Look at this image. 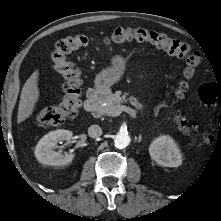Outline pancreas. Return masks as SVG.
Wrapping results in <instances>:
<instances>
[{"label": "pancreas", "instance_id": "cf45deb5", "mask_svg": "<svg viewBox=\"0 0 221 221\" xmlns=\"http://www.w3.org/2000/svg\"><path fill=\"white\" fill-rule=\"evenodd\" d=\"M128 93H122L121 91H116L115 93H110L105 99L101 100L92 110L94 117L99 118L101 116H109L111 111L123 102H129L137 107L141 108L142 104L136 97L130 96L127 98Z\"/></svg>", "mask_w": 221, "mask_h": 221}]
</instances>
